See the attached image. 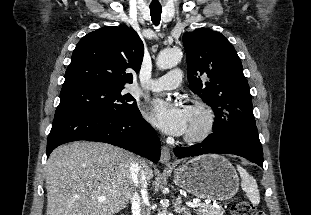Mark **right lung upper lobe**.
Returning <instances> with one entry per match:
<instances>
[{
	"label": "right lung upper lobe",
	"instance_id": "right-lung-upper-lobe-1",
	"mask_svg": "<svg viewBox=\"0 0 311 215\" xmlns=\"http://www.w3.org/2000/svg\"><path fill=\"white\" fill-rule=\"evenodd\" d=\"M143 55V42L132 28L126 25L102 27L77 43L63 86L95 83L123 87L133 82V74L139 72Z\"/></svg>",
	"mask_w": 311,
	"mask_h": 215
}]
</instances>
